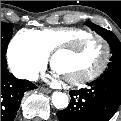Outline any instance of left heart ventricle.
<instances>
[{
  "label": "left heart ventricle",
  "mask_w": 121,
  "mask_h": 121,
  "mask_svg": "<svg viewBox=\"0 0 121 121\" xmlns=\"http://www.w3.org/2000/svg\"><path fill=\"white\" fill-rule=\"evenodd\" d=\"M104 57V47L97 39L84 43L74 54L60 53L54 59V70L62 77H73L96 69Z\"/></svg>",
  "instance_id": "left-heart-ventricle-1"
}]
</instances>
